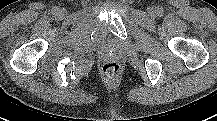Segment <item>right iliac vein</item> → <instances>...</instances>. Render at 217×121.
Here are the masks:
<instances>
[{
	"label": "right iliac vein",
	"instance_id": "1",
	"mask_svg": "<svg viewBox=\"0 0 217 121\" xmlns=\"http://www.w3.org/2000/svg\"><path fill=\"white\" fill-rule=\"evenodd\" d=\"M59 15L60 16H65L66 15V11L63 9V10H60L59 11Z\"/></svg>",
	"mask_w": 217,
	"mask_h": 121
}]
</instances>
